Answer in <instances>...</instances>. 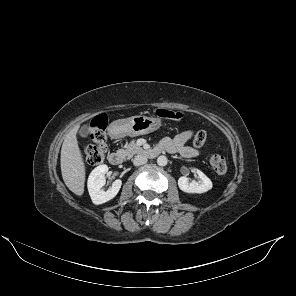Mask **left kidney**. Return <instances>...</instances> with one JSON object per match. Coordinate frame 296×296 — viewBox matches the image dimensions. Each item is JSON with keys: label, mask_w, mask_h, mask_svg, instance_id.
<instances>
[{"label": "left kidney", "mask_w": 296, "mask_h": 296, "mask_svg": "<svg viewBox=\"0 0 296 296\" xmlns=\"http://www.w3.org/2000/svg\"><path fill=\"white\" fill-rule=\"evenodd\" d=\"M197 174L200 178L198 182H189L188 178L182 176L178 179V186L180 190L186 193L201 194L212 189V181L200 170H197Z\"/></svg>", "instance_id": "5707ae66"}]
</instances>
